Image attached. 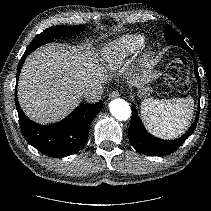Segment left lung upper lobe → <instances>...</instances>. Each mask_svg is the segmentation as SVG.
I'll list each match as a JSON object with an SVG mask.
<instances>
[{"instance_id":"obj_1","label":"left lung upper lobe","mask_w":211,"mask_h":211,"mask_svg":"<svg viewBox=\"0 0 211 211\" xmlns=\"http://www.w3.org/2000/svg\"><path fill=\"white\" fill-rule=\"evenodd\" d=\"M166 42L171 44L174 41L181 40L182 38L179 36V34L169 25L166 26Z\"/></svg>"}]
</instances>
